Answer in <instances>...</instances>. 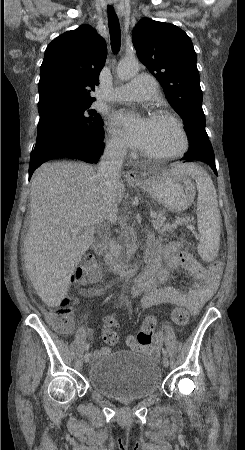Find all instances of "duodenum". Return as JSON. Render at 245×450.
<instances>
[{"label":"duodenum","mask_w":245,"mask_h":450,"mask_svg":"<svg viewBox=\"0 0 245 450\" xmlns=\"http://www.w3.org/2000/svg\"><path fill=\"white\" fill-rule=\"evenodd\" d=\"M108 239L106 240V252L103 255V259L106 263V265L113 270L114 272L118 273L121 277H130L134 275L135 273L139 271L145 270L147 267L150 266L151 260H148V264L146 266H142L141 264L137 262H119L114 258V250L116 247V241L114 238L113 231L109 230L108 232Z\"/></svg>","instance_id":"obj_1"}]
</instances>
